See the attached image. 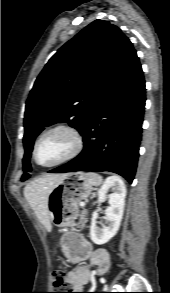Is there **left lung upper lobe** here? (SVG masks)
<instances>
[{"label": "left lung upper lobe", "mask_w": 170, "mask_h": 293, "mask_svg": "<svg viewBox=\"0 0 170 293\" xmlns=\"http://www.w3.org/2000/svg\"><path fill=\"white\" fill-rule=\"evenodd\" d=\"M134 50L108 21L95 20L64 44L38 76L26 102L21 180L30 177L34 140L44 127L67 122L80 133L110 82Z\"/></svg>", "instance_id": "1"}]
</instances>
